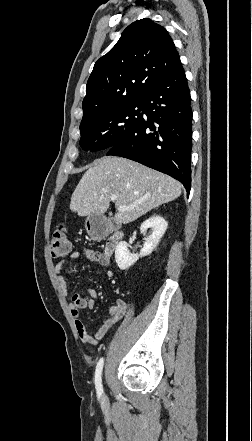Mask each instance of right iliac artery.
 <instances>
[{
	"mask_svg": "<svg viewBox=\"0 0 252 441\" xmlns=\"http://www.w3.org/2000/svg\"><path fill=\"white\" fill-rule=\"evenodd\" d=\"M103 363H104V359L101 358L97 363L96 371H95V387L99 395L103 393L102 379H101Z\"/></svg>",
	"mask_w": 252,
	"mask_h": 441,
	"instance_id": "1",
	"label": "right iliac artery"
}]
</instances>
